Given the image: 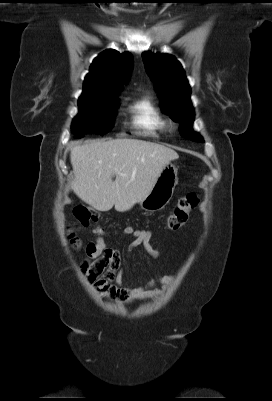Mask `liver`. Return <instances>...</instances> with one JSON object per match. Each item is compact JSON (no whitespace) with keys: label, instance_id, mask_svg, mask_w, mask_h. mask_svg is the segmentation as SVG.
<instances>
[{"label":"liver","instance_id":"1","mask_svg":"<svg viewBox=\"0 0 272 401\" xmlns=\"http://www.w3.org/2000/svg\"><path fill=\"white\" fill-rule=\"evenodd\" d=\"M173 149L138 139L92 140L71 149L72 190L99 211L130 210L151 191ZM115 175V180L112 177Z\"/></svg>","mask_w":272,"mask_h":401}]
</instances>
